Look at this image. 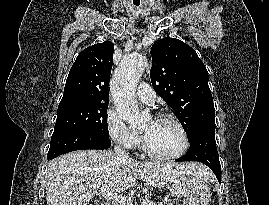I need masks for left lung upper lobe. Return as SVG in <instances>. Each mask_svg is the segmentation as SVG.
Wrapping results in <instances>:
<instances>
[{"instance_id":"1","label":"left lung upper lobe","mask_w":269,"mask_h":205,"mask_svg":"<svg viewBox=\"0 0 269 205\" xmlns=\"http://www.w3.org/2000/svg\"><path fill=\"white\" fill-rule=\"evenodd\" d=\"M154 90L175 111L189 140L204 128H215L208 72L194 49L174 39L157 40L151 48Z\"/></svg>"}]
</instances>
